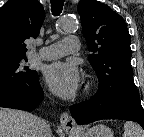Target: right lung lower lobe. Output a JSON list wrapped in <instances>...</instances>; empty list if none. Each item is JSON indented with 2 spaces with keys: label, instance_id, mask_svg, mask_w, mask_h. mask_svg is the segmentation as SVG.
Wrapping results in <instances>:
<instances>
[{
  "label": "right lung lower lobe",
  "instance_id": "right-lung-lower-lobe-1",
  "mask_svg": "<svg viewBox=\"0 0 144 137\" xmlns=\"http://www.w3.org/2000/svg\"><path fill=\"white\" fill-rule=\"evenodd\" d=\"M43 96L39 83L33 91L10 87L0 88V107L32 111L40 104Z\"/></svg>",
  "mask_w": 144,
  "mask_h": 137
}]
</instances>
